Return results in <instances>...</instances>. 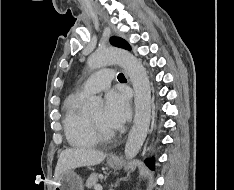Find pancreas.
<instances>
[{"label":"pancreas","instance_id":"pancreas-1","mask_svg":"<svg viewBox=\"0 0 234 190\" xmlns=\"http://www.w3.org/2000/svg\"><path fill=\"white\" fill-rule=\"evenodd\" d=\"M100 178L101 176L98 174H91L89 178L87 179L85 186L87 188H91L93 186L95 187V185L97 184Z\"/></svg>","mask_w":234,"mask_h":190}]
</instances>
